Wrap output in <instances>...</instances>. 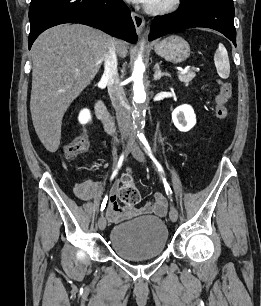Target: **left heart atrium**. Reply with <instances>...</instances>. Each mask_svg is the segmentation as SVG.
<instances>
[{
	"label": "left heart atrium",
	"mask_w": 261,
	"mask_h": 306,
	"mask_svg": "<svg viewBox=\"0 0 261 306\" xmlns=\"http://www.w3.org/2000/svg\"><path fill=\"white\" fill-rule=\"evenodd\" d=\"M131 2H138V3H149L151 0H128Z\"/></svg>",
	"instance_id": "obj_1"
}]
</instances>
